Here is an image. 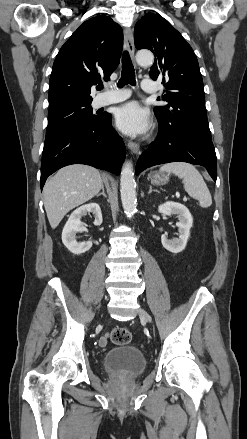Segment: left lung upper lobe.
I'll list each match as a JSON object with an SVG mask.
<instances>
[{"label": "left lung upper lobe", "mask_w": 247, "mask_h": 439, "mask_svg": "<svg viewBox=\"0 0 247 439\" xmlns=\"http://www.w3.org/2000/svg\"><path fill=\"white\" fill-rule=\"evenodd\" d=\"M137 49H149L155 62L149 75L160 80L166 94L154 113L159 127L190 129L211 135L205 108L203 80L191 46L182 35L159 14L145 15L134 30Z\"/></svg>", "instance_id": "1"}]
</instances>
